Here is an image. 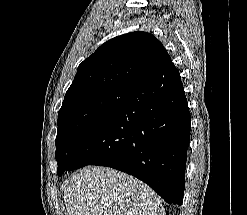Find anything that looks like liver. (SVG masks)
<instances>
[{
    "instance_id": "liver-1",
    "label": "liver",
    "mask_w": 247,
    "mask_h": 215,
    "mask_svg": "<svg viewBox=\"0 0 247 215\" xmlns=\"http://www.w3.org/2000/svg\"><path fill=\"white\" fill-rule=\"evenodd\" d=\"M68 215H166L146 184L107 167H85L64 185Z\"/></svg>"
}]
</instances>
